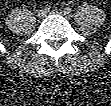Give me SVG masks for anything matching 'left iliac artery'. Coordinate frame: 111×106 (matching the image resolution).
<instances>
[{"label":"left iliac artery","mask_w":111,"mask_h":106,"mask_svg":"<svg viewBox=\"0 0 111 106\" xmlns=\"http://www.w3.org/2000/svg\"><path fill=\"white\" fill-rule=\"evenodd\" d=\"M64 11H65L67 14H69V13H71L72 9H71L70 7H66V8L64 9Z\"/></svg>","instance_id":"1"}]
</instances>
